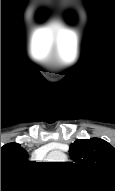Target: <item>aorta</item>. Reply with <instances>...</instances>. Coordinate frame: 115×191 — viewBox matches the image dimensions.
I'll list each match as a JSON object with an SVG mask.
<instances>
[{
    "mask_svg": "<svg viewBox=\"0 0 115 191\" xmlns=\"http://www.w3.org/2000/svg\"><path fill=\"white\" fill-rule=\"evenodd\" d=\"M49 158L52 161H65L66 155L60 151H55L50 154Z\"/></svg>",
    "mask_w": 115,
    "mask_h": 191,
    "instance_id": "1",
    "label": "aorta"
}]
</instances>
